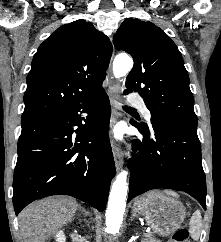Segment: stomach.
<instances>
[{
	"label": "stomach",
	"instance_id": "0dacf381",
	"mask_svg": "<svg viewBox=\"0 0 221 242\" xmlns=\"http://www.w3.org/2000/svg\"><path fill=\"white\" fill-rule=\"evenodd\" d=\"M133 208L144 216L146 222L160 236H167L180 228L186 215L181 202L160 191H151L139 197Z\"/></svg>",
	"mask_w": 221,
	"mask_h": 242
}]
</instances>
